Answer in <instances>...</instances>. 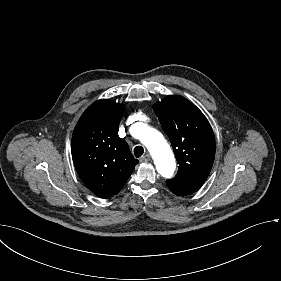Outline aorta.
<instances>
[{"label": "aorta", "mask_w": 281, "mask_h": 281, "mask_svg": "<svg viewBox=\"0 0 281 281\" xmlns=\"http://www.w3.org/2000/svg\"><path fill=\"white\" fill-rule=\"evenodd\" d=\"M137 125L141 130L140 140L150 152L157 171L163 177H171L175 170V159L169 144L156 129L150 128L144 123Z\"/></svg>", "instance_id": "1"}]
</instances>
